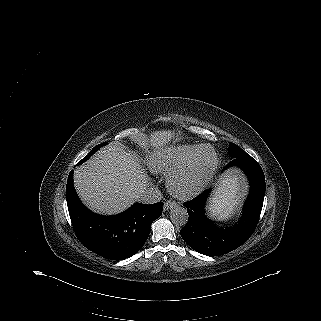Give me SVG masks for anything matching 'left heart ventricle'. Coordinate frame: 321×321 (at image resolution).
Segmentation results:
<instances>
[{"label":"left heart ventricle","instance_id":"left-heart-ventricle-1","mask_svg":"<svg viewBox=\"0 0 321 321\" xmlns=\"http://www.w3.org/2000/svg\"><path fill=\"white\" fill-rule=\"evenodd\" d=\"M213 163V154L210 149H204L198 156L195 168L191 174L180 179L177 187L180 190H188L199 185L209 172Z\"/></svg>","mask_w":321,"mask_h":321}]
</instances>
